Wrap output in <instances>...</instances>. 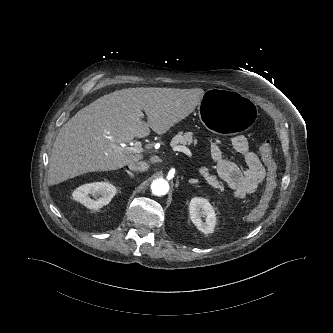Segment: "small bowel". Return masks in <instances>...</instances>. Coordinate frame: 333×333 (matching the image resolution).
<instances>
[{
	"mask_svg": "<svg viewBox=\"0 0 333 333\" xmlns=\"http://www.w3.org/2000/svg\"><path fill=\"white\" fill-rule=\"evenodd\" d=\"M233 149L242 156L245 169L241 170L234 162L228 160L223 152V143L217 140L211 147V158L220 177L231 188L238 199L254 194L268 176L266 162L249 149L246 138L242 135L231 139Z\"/></svg>",
	"mask_w": 333,
	"mask_h": 333,
	"instance_id": "small-bowel-1",
	"label": "small bowel"
}]
</instances>
